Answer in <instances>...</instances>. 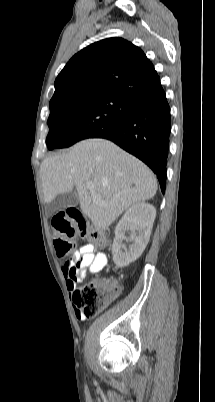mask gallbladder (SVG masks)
I'll use <instances>...</instances> for the list:
<instances>
[{"mask_svg": "<svg viewBox=\"0 0 215 402\" xmlns=\"http://www.w3.org/2000/svg\"><path fill=\"white\" fill-rule=\"evenodd\" d=\"M79 198L76 192L70 191L59 193L51 202L47 204V214L52 216L56 212L77 205Z\"/></svg>", "mask_w": 215, "mask_h": 402, "instance_id": "obj_1", "label": "gallbladder"}]
</instances>
